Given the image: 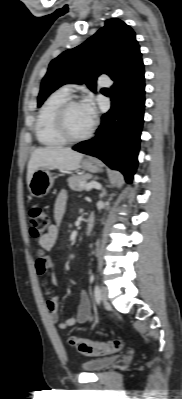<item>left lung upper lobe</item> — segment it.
I'll list each match as a JSON object with an SVG mask.
<instances>
[{
    "label": "left lung upper lobe",
    "instance_id": "1",
    "mask_svg": "<svg viewBox=\"0 0 182 399\" xmlns=\"http://www.w3.org/2000/svg\"><path fill=\"white\" fill-rule=\"evenodd\" d=\"M140 63L142 59L135 32L123 21L109 19L83 44L51 61L41 83L38 107L64 84L86 83L95 92L100 74H107L116 81L130 74Z\"/></svg>",
    "mask_w": 182,
    "mask_h": 399
}]
</instances>
